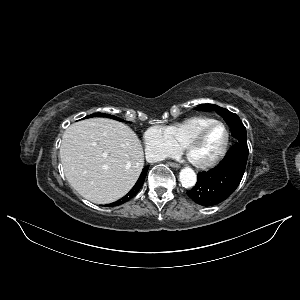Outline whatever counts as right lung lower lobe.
I'll return each mask as SVG.
<instances>
[{"label": "right lung lower lobe", "mask_w": 300, "mask_h": 300, "mask_svg": "<svg viewBox=\"0 0 300 300\" xmlns=\"http://www.w3.org/2000/svg\"><path fill=\"white\" fill-rule=\"evenodd\" d=\"M148 168H149V166H146V167L143 169V171H142V173H141V175H140V177H139L137 183L134 185V187L129 191V193H128L127 195H125V196H124L123 198H121L120 200H118V201H116V202H114V203H111V204H109V205H107V206H117V205H120V204L125 203L126 201H128V200H130L132 197H134V196L138 193V191L140 190L141 186L143 185V182H144V180H145V177H146Z\"/></svg>", "instance_id": "right-lung-lower-lobe-1"}]
</instances>
